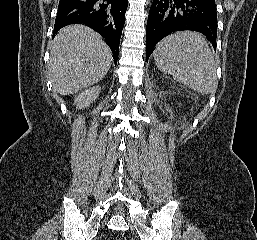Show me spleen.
<instances>
[{"mask_svg": "<svg viewBox=\"0 0 257 240\" xmlns=\"http://www.w3.org/2000/svg\"><path fill=\"white\" fill-rule=\"evenodd\" d=\"M157 68L200 94L215 92L217 65L206 40L196 32H178L165 37L153 52Z\"/></svg>", "mask_w": 257, "mask_h": 240, "instance_id": "spleen-1", "label": "spleen"}]
</instances>
